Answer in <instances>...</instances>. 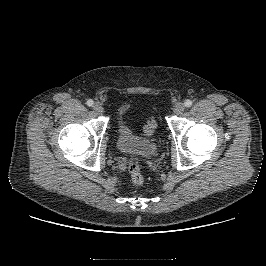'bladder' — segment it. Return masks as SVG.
I'll use <instances>...</instances> for the list:
<instances>
[{
  "instance_id": "obj_1",
  "label": "bladder",
  "mask_w": 266,
  "mask_h": 266,
  "mask_svg": "<svg viewBox=\"0 0 266 266\" xmlns=\"http://www.w3.org/2000/svg\"><path fill=\"white\" fill-rule=\"evenodd\" d=\"M117 149L128 155L151 158L157 151L156 142L150 138H141L126 120V110L120 109L116 128Z\"/></svg>"
}]
</instances>
